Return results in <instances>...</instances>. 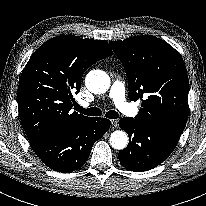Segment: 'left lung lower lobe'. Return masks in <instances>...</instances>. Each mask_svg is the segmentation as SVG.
<instances>
[{"mask_svg": "<svg viewBox=\"0 0 206 206\" xmlns=\"http://www.w3.org/2000/svg\"><path fill=\"white\" fill-rule=\"evenodd\" d=\"M119 126L129 136V145L118 154L119 161L130 171L155 168L175 149L181 134L149 127L133 118L120 119Z\"/></svg>", "mask_w": 206, "mask_h": 206, "instance_id": "0a47b994", "label": "left lung lower lobe"}]
</instances>
